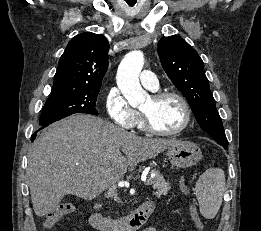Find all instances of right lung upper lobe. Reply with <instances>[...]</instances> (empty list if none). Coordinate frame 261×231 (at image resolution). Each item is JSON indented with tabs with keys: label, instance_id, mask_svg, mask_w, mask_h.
<instances>
[{
	"label": "right lung upper lobe",
	"instance_id": "1",
	"mask_svg": "<svg viewBox=\"0 0 261 231\" xmlns=\"http://www.w3.org/2000/svg\"><path fill=\"white\" fill-rule=\"evenodd\" d=\"M109 43L101 34L75 36L62 54L52 89L100 88L108 67Z\"/></svg>",
	"mask_w": 261,
	"mask_h": 231
}]
</instances>
